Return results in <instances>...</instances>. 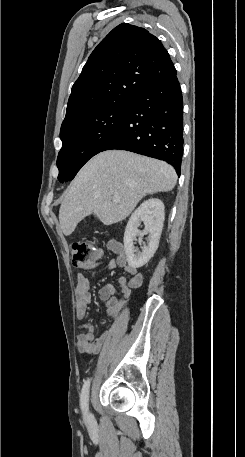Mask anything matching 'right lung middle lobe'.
Masks as SVG:
<instances>
[{
	"label": "right lung middle lobe",
	"instance_id": "right-lung-middle-lobe-1",
	"mask_svg": "<svg viewBox=\"0 0 245 457\" xmlns=\"http://www.w3.org/2000/svg\"><path fill=\"white\" fill-rule=\"evenodd\" d=\"M132 101L117 100L62 123L57 166L60 182L72 180L80 168L112 139Z\"/></svg>",
	"mask_w": 245,
	"mask_h": 457
}]
</instances>
